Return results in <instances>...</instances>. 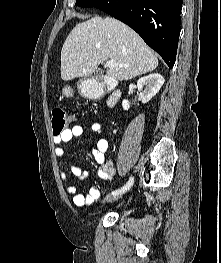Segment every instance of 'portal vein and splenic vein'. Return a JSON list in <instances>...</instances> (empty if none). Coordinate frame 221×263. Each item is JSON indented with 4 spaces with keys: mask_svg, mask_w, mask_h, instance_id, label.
Returning a JSON list of instances; mask_svg holds the SVG:
<instances>
[{
    "mask_svg": "<svg viewBox=\"0 0 221 263\" xmlns=\"http://www.w3.org/2000/svg\"><path fill=\"white\" fill-rule=\"evenodd\" d=\"M106 65H107L108 67H114V66H116L115 62L112 61V60L107 61Z\"/></svg>",
    "mask_w": 221,
    "mask_h": 263,
    "instance_id": "obj_1",
    "label": "portal vein and splenic vein"
}]
</instances>
